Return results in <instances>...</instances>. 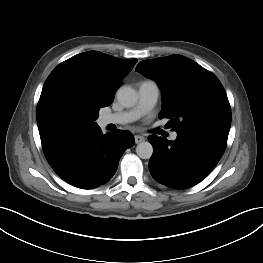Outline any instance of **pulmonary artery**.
I'll use <instances>...</instances> for the list:
<instances>
[{
	"label": "pulmonary artery",
	"mask_w": 263,
	"mask_h": 263,
	"mask_svg": "<svg viewBox=\"0 0 263 263\" xmlns=\"http://www.w3.org/2000/svg\"><path fill=\"white\" fill-rule=\"evenodd\" d=\"M159 93V86L155 81L145 80L140 82L137 105L128 111L102 115L100 118L101 124L104 126L109 124H127L138 119L156 104ZM171 137L175 139L177 134L173 133Z\"/></svg>",
	"instance_id": "obj_1"
}]
</instances>
